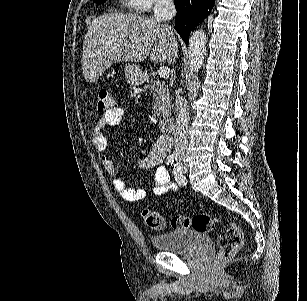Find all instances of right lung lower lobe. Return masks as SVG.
<instances>
[{"instance_id":"1","label":"right lung lower lobe","mask_w":307,"mask_h":301,"mask_svg":"<svg viewBox=\"0 0 307 301\" xmlns=\"http://www.w3.org/2000/svg\"><path fill=\"white\" fill-rule=\"evenodd\" d=\"M215 0H175L177 17L175 30L188 44L189 34L213 8Z\"/></svg>"}]
</instances>
